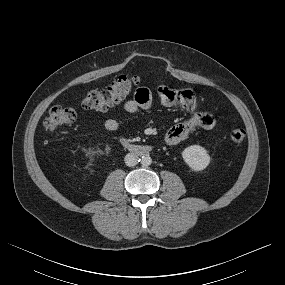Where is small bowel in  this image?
<instances>
[{
	"label": "small bowel",
	"mask_w": 285,
	"mask_h": 285,
	"mask_svg": "<svg viewBox=\"0 0 285 285\" xmlns=\"http://www.w3.org/2000/svg\"><path fill=\"white\" fill-rule=\"evenodd\" d=\"M161 101L166 106L180 105L191 113V117L171 127L165 134L164 141L167 145H176L185 140L196 129H212L216 120L207 112H195L196 99L191 90H174L161 86L158 90ZM153 95L147 87H140L133 99L123 103L122 108L128 114H136L143 110H149L152 106ZM122 122L119 119L109 118L104 121V128L107 131H116Z\"/></svg>",
	"instance_id": "1"
}]
</instances>
